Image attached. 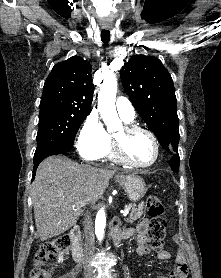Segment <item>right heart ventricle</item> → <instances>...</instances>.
<instances>
[{
	"label": "right heart ventricle",
	"mask_w": 221,
	"mask_h": 278,
	"mask_svg": "<svg viewBox=\"0 0 221 278\" xmlns=\"http://www.w3.org/2000/svg\"><path fill=\"white\" fill-rule=\"evenodd\" d=\"M104 156L109 158L110 160L116 161V158L113 155V152H112V149L110 148V145H109L107 151L104 153L103 157Z\"/></svg>",
	"instance_id": "right-heart-ventricle-1"
}]
</instances>
